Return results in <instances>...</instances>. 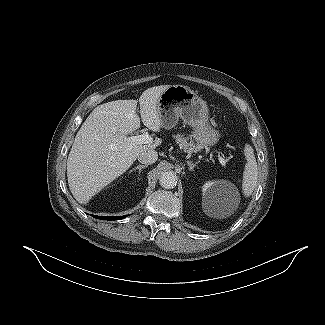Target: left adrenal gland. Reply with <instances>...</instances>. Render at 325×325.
<instances>
[{
    "label": "left adrenal gland",
    "instance_id": "obj_1",
    "mask_svg": "<svg viewBox=\"0 0 325 325\" xmlns=\"http://www.w3.org/2000/svg\"><path fill=\"white\" fill-rule=\"evenodd\" d=\"M199 162H196L195 164L192 163L191 161H188L187 164L189 166V170L192 171L198 164Z\"/></svg>",
    "mask_w": 325,
    "mask_h": 325
}]
</instances>
